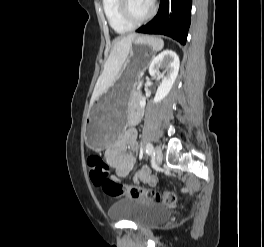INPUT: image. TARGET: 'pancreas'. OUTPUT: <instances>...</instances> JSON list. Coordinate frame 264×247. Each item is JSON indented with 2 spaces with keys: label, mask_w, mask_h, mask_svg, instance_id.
Instances as JSON below:
<instances>
[{
  "label": "pancreas",
  "mask_w": 264,
  "mask_h": 247,
  "mask_svg": "<svg viewBox=\"0 0 264 247\" xmlns=\"http://www.w3.org/2000/svg\"><path fill=\"white\" fill-rule=\"evenodd\" d=\"M139 90L140 86H138L137 89L132 92V96L135 102H137L139 99Z\"/></svg>",
  "instance_id": "obj_1"
}]
</instances>
